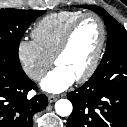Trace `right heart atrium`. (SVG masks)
<instances>
[{
    "label": "right heart atrium",
    "instance_id": "right-heart-atrium-1",
    "mask_svg": "<svg viewBox=\"0 0 127 127\" xmlns=\"http://www.w3.org/2000/svg\"><path fill=\"white\" fill-rule=\"evenodd\" d=\"M17 57L24 72L33 81L41 80L53 63L52 58L46 56L34 40H20Z\"/></svg>",
    "mask_w": 127,
    "mask_h": 127
}]
</instances>
